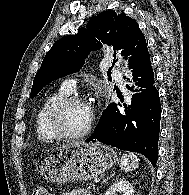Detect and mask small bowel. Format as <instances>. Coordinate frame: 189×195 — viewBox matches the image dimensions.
Here are the masks:
<instances>
[{"instance_id": "small-bowel-1", "label": "small bowel", "mask_w": 189, "mask_h": 195, "mask_svg": "<svg viewBox=\"0 0 189 195\" xmlns=\"http://www.w3.org/2000/svg\"><path fill=\"white\" fill-rule=\"evenodd\" d=\"M61 195H91V194L86 189L77 188L71 191L63 192Z\"/></svg>"}]
</instances>
